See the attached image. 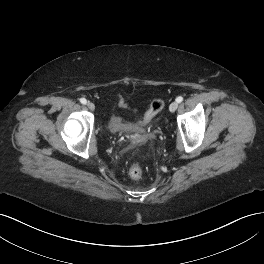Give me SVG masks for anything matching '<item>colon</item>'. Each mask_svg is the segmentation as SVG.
<instances>
[{
	"label": "colon",
	"instance_id": "colon-1",
	"mask_svg": "<svg viewBox=\"0 0 264 264\" xmlns=\"http://www.w3.org/2000/svg\"><path fill=\"white\" fill-rule=\"evenodd\" d=\"M164 108V102L160 99L154 100L145 113L143 123L150 122ZM129 175L133 179H139L143 175V169L138 164H133L129 169Z\"/></svg>",
	"mask_w": 264,
	"mask_h": 264
}]
</instances>
